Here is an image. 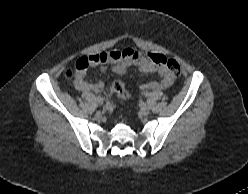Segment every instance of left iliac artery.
<instances>
[{
	"label": "left iliac artery",
	"mask_w": 248,
	"mask_h": 194,
	"mask_svg": "<svg viewBox=\"0 0 248 194\" xmlns=\"http://www.w3.org/2000/svg\"><path fill=\"white\" fill-rule=\"evenodd\" d=\"M148 95H149V93H148V92H146V93H145V96L147 97Z\"/></svg>",
	"instance_id": "44dca946"
}]
</instances>
